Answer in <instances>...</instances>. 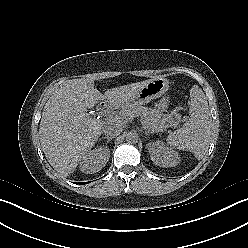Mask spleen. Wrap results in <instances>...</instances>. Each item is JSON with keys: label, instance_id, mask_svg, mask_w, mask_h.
<instances>
[{"label": "spleen", "instance_id": "1", "mask_svg": "<svg viewBox=\"0 0 248 248\" xmlns=\"http://www.w3.org/2000/svg\"><path fill=\"white\" fill-rule=\"evenodd\" d=\"M189 119L183 126L170 133L167 143L179 150L194 153L197 159L204 157L210 143L211 115L205 95L199 86L194 85L190 90Z\"/></svg>", "mask_w": 248, "mask_h": 248}]
</instances>
